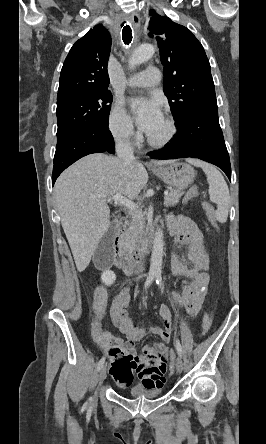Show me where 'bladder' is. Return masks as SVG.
Instances as JSON below:
<instances>
[{
    "label": "bladder",
    "mask_w": 266,
    "mask_h": 444,
    "mask_svg": "<svg viewBox=\"0 0 266 444\" xmlns=\"http://www.w3.org/2000/svg\"><path fill=\"white\" fill-rule=\"evenodd\" d=\"M162 394L160 389H146L142 387H133L129 395L135 398L154 399Z\"/></svg>",
    "instance_id": "1"
}]
</instances>
